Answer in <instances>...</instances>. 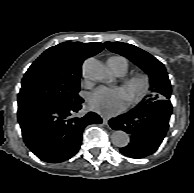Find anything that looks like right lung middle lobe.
Returning a JSON list of instances; mask_svg holds the SVG:
<instances>
[{"label":"right lung middle lobe","mask_w":194,"mask_h":193,"mask_svg":"<svg viewBox=\"0 0 194 193\" xmlns=\"http://www.w3.org/2000/svg\"><path fill=\"white\" fill-rule=\"evenodd\" d=\"M80 75L36 73L22 79L18 107L31 105H73L81 101Z\"/></svg>","instance_id":"right-lung-middle-lobe-1"}]
</instances>
